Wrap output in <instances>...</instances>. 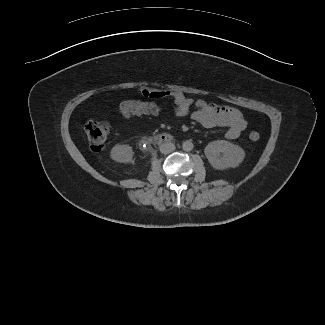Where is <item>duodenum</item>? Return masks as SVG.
Returning a JSON list of instances; mask_svg holds the SVG:
<instances>
[{"mask_svg": "<svg viewBox=\"0 0 325 325\" xmlns=\"http://www.w3.org/2000/svg\"><path fill=\"white\" fill-rule=\"evenodd\" d=\"M156 140L159 143H169L173 141V137L171 134L168 133H162L156 136ZM148 140L146 139L145 142H147Z\"/></svg>", "mask_w": 325, "mask_h": 325, "instance_id": "obj_1", "label": "duodenum"}]
</instances>
